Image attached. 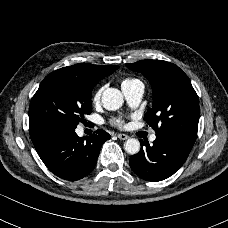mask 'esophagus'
I'll return each instance as SVG.
<instances>
[{"label": "esophagus", "instance_id": "1", "mask_svg": "<svg viewBox=\"0 0 228 228\" xmlns=\"http://www.w3.org/2000/svg\"><path fill=\"white\" fill-rule=\"evenodd\" d=\"M117 137H118L120 140H126V139L129 138L128 135L123 134V133H119V134L117 135Z\"/></svg>", "mask_w": 228, "mask_h": 228}]
</instances>
